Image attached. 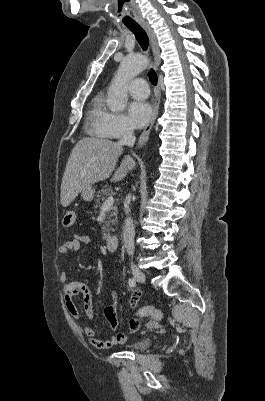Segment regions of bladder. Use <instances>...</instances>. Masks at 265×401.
Masks as SVG:
<instances>
[{
	"instance_id": "1",
	"label": "bladder",
	"mask_w": 265,
	"mask_h": 401,
	"mask_svg": "<svg viewBox=\"0 0 265 401\" xmlns=\"http://www.w3.org/2000/svg\"><path fill=\"white\" fill-rule=\"evenodd\" d=\"M150 344V339L147 338H141L138 341H135L134 343L127 345V350H131V351H146V348L149 346Z\"/></svg>"
}]
</instances>
